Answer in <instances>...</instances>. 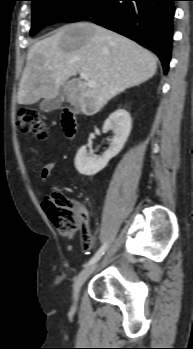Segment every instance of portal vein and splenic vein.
Masks as SVG:
<instances>
[{
	"instance_id": "portal-vein-and-splenic-vein-1",
	"label": "portal vein and splenic vein",
	"mask_w": 193,
	"mask_h": 349,
	"mask_svg": "<svg viewBox=\"0 0 193 349\" xmlns=\"http://www.w3.org/2000/svg\"><path fill=\"white\" fill-rule=\"evenodd\" d=\"M79 75H80V78L84 80L85 84L88 87H90V88L96 87V83L94 81H92L91 79H89V77L86 73L81 72Z\"/></svg>"
}]
</instances>
